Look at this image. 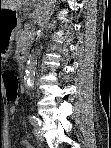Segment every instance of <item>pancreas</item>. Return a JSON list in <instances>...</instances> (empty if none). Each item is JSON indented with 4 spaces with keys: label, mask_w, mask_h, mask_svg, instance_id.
Returning <instances> with one entry per match:
<instances>
[{
    "label": "pancreas",
    "mask_w": 111,
    "mask_h": 148,
    "mask_svg": "<svg viewBox=\"0 0 111 148\" xmlns=\"http://www.w3.org/2000/svg\"><path fill=\"white\" fill-rule=\"evenodd\" d=\"M28 31L26 30H20L17 32L16 38L21 41L20 44L28 43L29 38H28Z\"/></svg>",
    "instance_id": "1"
}]
</instances>
